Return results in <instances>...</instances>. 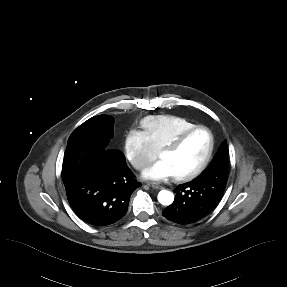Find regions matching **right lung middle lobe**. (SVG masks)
<instances>
[{
    "label": "right lung middle lobe",
    "mask_w": 287,
    "mask_h": 287,
    "mask_svg": "<svg viewBox=\"0 0 287 287\" xmlns=\"http://www.w3.org/2000/svg\"><path fill=\"white\" fill-rule=\"evenodd\" d=\"M114 118L109 115H99L85 121L70 135L68 143L83 139L97 138L106 143L113 138Z\"/></svg>",
    "instance_id": "dd1d6c3e"
}]
</instances>
